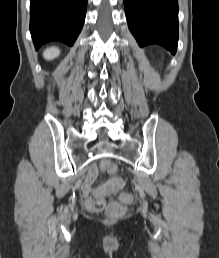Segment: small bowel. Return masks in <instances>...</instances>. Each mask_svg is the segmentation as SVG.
Returning a JSON list of instances; mask_svg holds the SVG:
<instances>
[{"instance_id": "small-bowel-1", "label": "small bowel", "mask_w": 219, "mask_h": 258, "mask_svg": "<svg viewBox=\"0 0 219 258\" xmlns=\"http://www.w3.org/2000/svg\"><path fill=\"white\" fill-rule=\"evenodd\" d=\"M96 176H97V169L93 168L90 171L88 178L86 179V181L84 183V189L86 191L89 190V188L91 187L92 183L94 182ZM109 183L112 184L110 186V189L116 190L121 187V184H127V179H110Z\"/></svg>"}]
</instances>
